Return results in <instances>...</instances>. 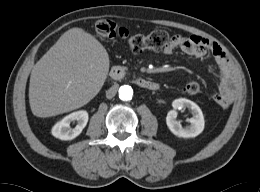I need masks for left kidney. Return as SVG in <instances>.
Here are the masks:
<instances>
[{"label": "left kidney", "instance_id": "5707ae66", "mask_svg": "<svg viewBox=\"0 0 260 192\" xmlns=\"http://www.w3.org/2000/svg\"><path fill=\"white\" fill-rule=\"evenodd\" d=\"M172 106L174 110L168 112L166 124L174 135L182 138H191L196 137L204 130V116L196 103L185 98H179L172 102ZM186 108L191 110L192 117L189 119L190 125L183 128L180 121L177 120L176 110Z\"/></svg>", "mask_w": 260, "mask_h": 192}]
</instances>
